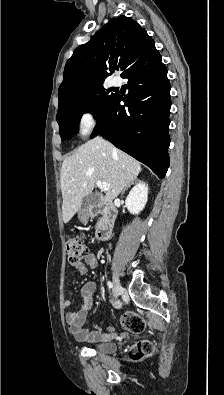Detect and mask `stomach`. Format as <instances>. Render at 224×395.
Masks as SVG:
<instances>
[{
	"mask_svg": "<svg viewBox=\"0 0 224 395\" xmlns=\"http://www.w3.org/2000/svg\"><path fill=\"white\" fill-rule=\"evenodd\" d=\"M81 220H82V221H85V220H86V218H85V217H82V218H81Z\"/></svg>",
	"mask_w": 224,
	"mask_h": 395,
	"instance_id": "1",
	"label": "stomach"
}]
</instances>
